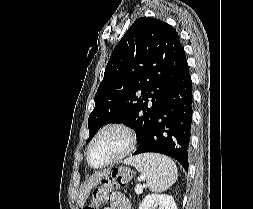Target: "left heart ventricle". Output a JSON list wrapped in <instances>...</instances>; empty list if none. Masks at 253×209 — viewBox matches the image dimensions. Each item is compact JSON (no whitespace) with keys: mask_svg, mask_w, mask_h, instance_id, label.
<instances>
[{"mask_svg":"<svg viewBox=\"0 0 253 209\" xmlns=\"http://www.w3.org/2000/svg\"><path fill=\"white\" fill-rule=\"evenodd\" d=\"M126 145V136L119 129L105 131L93 144L91 162L101 165L116 156Z\"/></svg>","mask_w":253,"mask_h":209,"instance_id":"b2bd125f","label":"left heart ventricle"}]
</instances>
